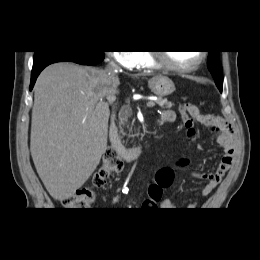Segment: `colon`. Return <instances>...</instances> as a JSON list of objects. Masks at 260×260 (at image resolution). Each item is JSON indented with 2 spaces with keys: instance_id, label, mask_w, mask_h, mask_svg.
Listing matches in <instances>:
<instances>
[{
  "instance_id": "1",
  "label": "colon",
  "mask_w": 260,
  "mask_h": 260,
  "mask_svg": "<svg viewBox=\"0 0 260 260\" xmlns=\"http://www.w3.org/2000/svg\"><path fill=\"white\" fill-rule=\"evenodd\" d=\"M182 119L187 130V138L194 140L196 131L193 126L194 118L199 114V109L192 103H185L181 107ZM186 160L180 162L185 165ZM122 162L118 155L108 149L104 155L102 165L93 177V185L95 187H102L106 184L110 176L120 171ZM174 180V170L170 167L160 168L154 177V180L148 187V197L146 201L157 203L161 200L164 190L169 188ZM94 202V193L90 188H82L77 190L74 194L66 197L63 200V205L69 209H86Z\"/></svg>"
}]
</instances>
